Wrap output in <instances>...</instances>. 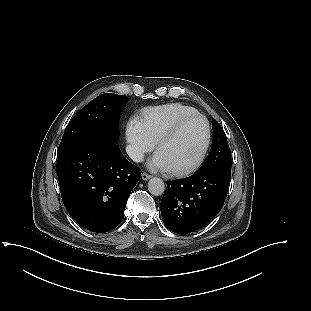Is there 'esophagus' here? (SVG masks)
<instances>
[{
    "instance_id": "1",
    "label": "esophagus",
    "mask_w": 311,
    "mask_h": 311,
    "mask_svg": "<svg viewBox=\"0 0 311 311\" xmlns=\"http://www.w3.org/2000/svg\"><path fill=\"white\" fill-rule=\"evenodd\" d=\"M151 178V175H149V174H147V173H142V179L144 180V181H146V180H148V179H150Z\"/></svg>"
}]
</instances>
